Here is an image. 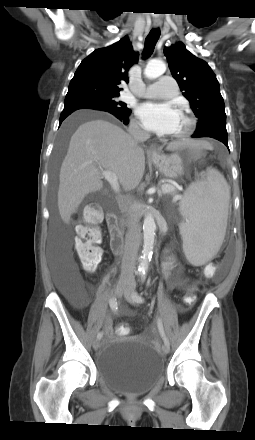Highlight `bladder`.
Segmentation results:
<instances>
[{
  "mask_svg": "<svg viewBox=\"0 0 255 440\" xmlns=\"http://www.w3.org/2000/svg\"><path fill=\"white\" fill-rule=\"evenodd\" d=\"M97 374L115 391L140 395L164 375L165 361L149 343L133 337L108 339L96 362Z\"/></svg>",
  "mask_w": 255,
  "mask_h": 440,
  "instance_id": "1",
  "label": "bladder"
}]
</instances>
